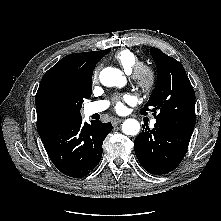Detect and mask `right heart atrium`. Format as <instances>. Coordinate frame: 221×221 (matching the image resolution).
I'll use <instances>...</instances> for the list:
<instances>
[{"instance_id":"right-heart-atrium-1","label":"right heart atrium","mask_w":221,"mask_h":221,"mask_svg":"<svg viewBox=\"0 0 221 221\" xmlns=\"http://www.w3.org/2000/svg\"><path fill=\"white\" fill-rule=\"evenodd\" d=\"M97 76H98V71H95L94 75H93V81L97 80Z\"/></svg>"}]
</instances>
